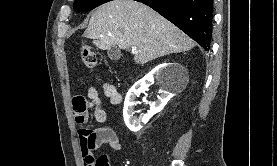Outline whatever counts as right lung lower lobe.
<instances>
[{"label": "right lung lower lobe", "instance_id": "1", "mask_svg": "<svg viewBox=\"0 0 277 166\" xmlns=\"http://www.w3.org/2000/svg\"><path fill=\"white\" fill-rule=\"evenodd\" d=\"M150 6L194 39L206 51L210 50L213 0H135Z\"/></svg>", "mask_w": 277, "mask_h": 166}]
</instances>
